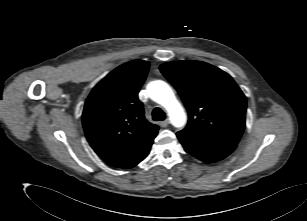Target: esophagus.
<instances>
[{
	"instance_id": "obj_1",
	"label": "esophagus",
	"mask_w": 307,
	"mask_h": 221,
	"mask_svg": "<svg viewBox=\"0 0 307 221\" xmlns=\"http://www.w3.org/2000/svg\"><path fill=\"white\" fill-rule=\"evenodd\" d=\"M168 124H169V120H168V119H166V120H164V121H161V122L159 123V125H160L161 127H167Z\"/></svg>"
}]
</instances>
